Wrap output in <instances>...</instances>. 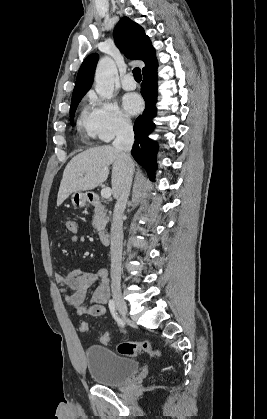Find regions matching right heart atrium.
I'll return each mask as SVG.
<instances>
[{
    "label": "right heart atrium",
    "instance_id": "obj_1",
    "mask_svg": "<svg viewBox=\"0 0 267 419\" xmlns=\"http://www.w3.org/2000/svg\"><path fill=\"white\" fill-rule=\"evenodd\" d=\"M90 101L94 107L96 134L100 140L110 141L131 129V119L116 102L103 100L95 94H91Z\"/></svg>",
    "mask_w": 267,
    "mask_h": 419
}]
</instances>
